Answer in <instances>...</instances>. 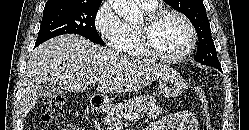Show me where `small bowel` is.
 Segmentation results:
<instances>
[{
    "label": "small bowel",
    "mask_w": 249,
    "mask_h": 130,
    "mask_svg": "<svg viewBox=\"0 0 249 130\" xmlns=\"http://www.w3.org/2000/svg\"><path fill=\"white\" fill-rule=\"evenodd\" d=\"M61 130H85L84 128L68 124ZM143 130H200L196 117L189 111H178L163 116Z\"/></svg>",
    "instance_id": "1"
}]
</instances>
